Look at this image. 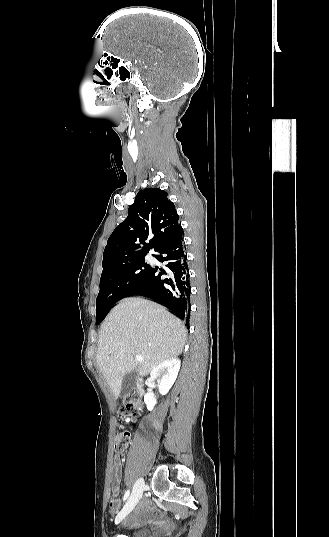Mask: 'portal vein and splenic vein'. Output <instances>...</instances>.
I'll use <instances>...</instances> for the list:
<instances>
[{
  "instance_id": "portal-vein-and-splenic-vein-1",
  "label": "portal vein and splenic vein",
  "mask_w": 329,
  "mask_h": 537,
  "mask_svg": "<svg viewBox=\"0 0 329 537\" xmlns=\"http://www.w3.org/2000/svg\"><path fill=\"white\" fill-rule=\"evenodd\" d=\"M135 358L137 361H143V357L141 355H135Z\"/></svg>"
}]
</instances>
